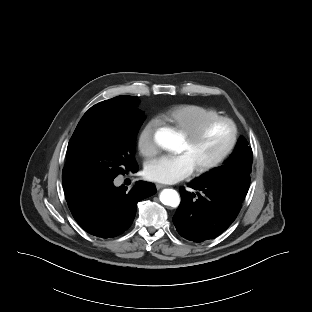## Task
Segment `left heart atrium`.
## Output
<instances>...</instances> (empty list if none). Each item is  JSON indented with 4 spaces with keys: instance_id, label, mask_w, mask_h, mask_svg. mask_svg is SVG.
<instances>
[{
    "instance_id": "39dd6f15",
    "label": "left heart atrium",
    "mask_w": 312,
    "mask_h": 312,
    "mask_svg": "<svg viewBox=\"0 0 312 312\" xmlns=\"http://www.w3.org/2000/svg\"><path fill=\"white\" fill-rule=\"evenodd\" d=\"M195 167L187 154L162 156L149 163L144 171L145 177L154 182L171 184L185 179Z\"/></svg>"
}]
</instances>
